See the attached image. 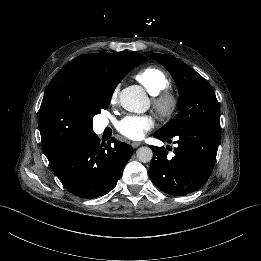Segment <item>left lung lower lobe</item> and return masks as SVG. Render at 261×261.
I'll use <instances>...</instances> for the list:
<instances>
[{"mask_svg": "<svg viewBox=\"0 0 261 261\" xmlns=\"http://www.w3.org/2000/svg\"><path fill=\"white\" fill-rule=\"evenodd\" d=\"M154 136L162 141L170 139L158 132ZM220 137V130L195 126L177 135L178 147L174 148L172 159L164 147H155L148 171L154 185L175 196L198 191L212 173Z\"/></svg>", "mask_w": 261, "mask_h": 261, "instance_id": "0a47b994", "label": "left lung lower lobe"}]
</instances>
